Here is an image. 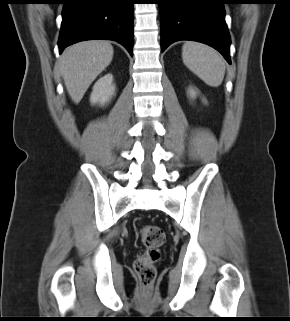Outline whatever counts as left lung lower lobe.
<instances>
[{
    "mask_svg": "<svg viewBox=\"0 0 290 321\" xmlns=\"http://www.w3.org/2000/svg\"><path fill=\"white\" fill-rule=\"evenodd\" d=\"M226 3L227 0H160L161 52L175 41H198L218 50L231 64Z\"/></svg>",
    "mask_w": 290,
    "mask_h": 321,
    "instance_id": "0a47b994",
    "label": "left lung lower lobe"
}]
</instances>
